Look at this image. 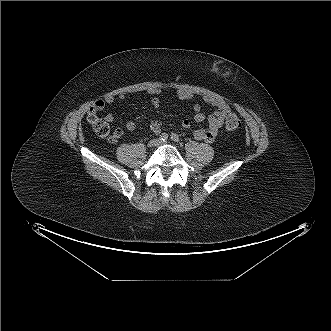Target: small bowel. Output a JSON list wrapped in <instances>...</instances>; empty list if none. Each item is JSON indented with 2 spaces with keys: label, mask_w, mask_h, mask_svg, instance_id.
<instances>
[{
  "label": "small bowel",
  "mask_w": 331,
  "mask_h": 331,
  "mask_svg": "<svg viewBox=\"0 0 331 331\" xmlns=\"http://www.w3.org/2000/svg\"><path fill=\"white\" fill-rule=\"evenodd\" d=\"M147 93L152 96L151 105L154 108L160 107V97L162 95V91L158 88H150L148 89ZM126 96V93H120L117 96L107 95L104 99L97 100L90 109V112L96 113L98 111H101L106 104H112L116 99L124 100ZM176 96L179 100L186 101L190 100L193 97V94L188 90L179 89L176 91ZM203 102L214 107L215 111L207 117V129H197L194 131L193 136L198 141L212 143L216 139L219 129L223 126L225 117L230 114L231 110L229 104L225 100L215 96L206 95L203 97ZM193 110L195 112L194 120L197 123L203 122L206 119V116L201 112L200 104H195L193 106ZM105 120L107 122H113L114 117L111 113H109L105 116ZM180 125L183 128H189L191 126L189 120H183ZM126 128L128 131H134L136 129V123L133 121H129L126 124ZM163 128L164 124L159 120H153L149 126L150 131L155 134H160L163 131ZM117 131L120 132L118 137L121 136V130L118 129Z\"/></svg>",
  "instance_id": "obj_1"
}]
</instances>
